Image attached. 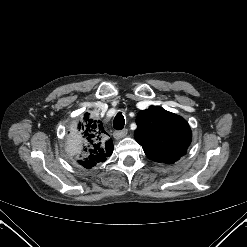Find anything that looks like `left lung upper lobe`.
Segmentation results:
<instances>
[{"instance_id":"left-lung-upper-lobe-1","label":"left lung upper lobe","mask_w":247,"mask_h":247,"mask_svg":"<svg viewBox=\"0 0 247 247\" xmlns=\"http://www.w3.org/2000/svg\"><path fill=\"white\" fill-rule=\"evenodd\" d=\"M135 139L147 157L171 164L179 160L191 143V130L180 116L159 106L140 111L136 118Z\"/></svg>"}]
</instances>
